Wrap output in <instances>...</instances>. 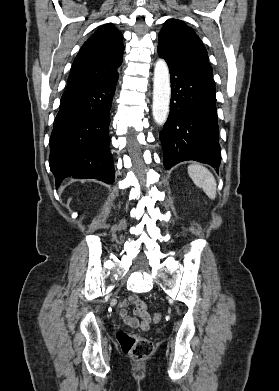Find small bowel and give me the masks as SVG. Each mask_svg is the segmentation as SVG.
I'll return each instance as SVG.
<instances>
[{
  "instance_id": "small-bowel-1",
  "label": "small bowel",
  "mask_w": 279,
  "mask_h": 391,
  "mask_svg": "<svg viewBox=\"0 0 279 391\" xmlns=\"http://www.w3.org/2000/svg\"><path fill=\"white\" fill-rule=\"evenodd\" d=\"M130 303L135 305L134 313L136 317H131L127 313L126 307ZM117 313L125 322V324H127L132 328H139L142 330H146L150 326L151 317L148 312L147 306L136 295H131L127 299L122 300L119 304Z\"/></svg>"
}]
</instances>
